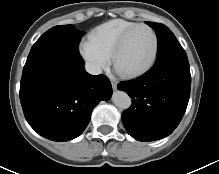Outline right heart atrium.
<instances>
[{"label": "right heart atrium", "mask_w": 219, "mask_h": 174, "mask_svg": "<svg viewBox=\"0 0 219 174\" xmlns=\"http://www.w3.org/2000/svg\"><path fill=\"white\" fill-rule=\"evenodd\" d=\"M79 53L93 74H99L110 64V56L89 38L80 42Z\"/></svg>", "instance_id": "obj_1"}]
</instances>
